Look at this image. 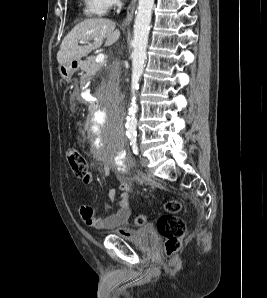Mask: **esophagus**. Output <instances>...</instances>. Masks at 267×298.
I'll use <instances>...</instances> for the list:
<instances>
[{"label": "esophagus", "instance_id": "esophagus-1", "mask_svg": "<svg viewBox=\"0 0 267 298\" xmlns=\"http://www.w3.org/2000/svg\"><path fill=\"white\" fill-rule=\"evenodd\" d=\"M136 3H137V0H132L130 5L128 6L126 16L123 20V25H129L132 22L135 8H136Z\"/></svg>", "mask_w": 267, "mask_h": 298}]
</instances>
